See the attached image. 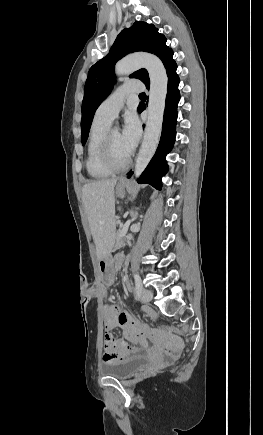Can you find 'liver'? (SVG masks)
Masks as SVG:
<instances>
[{
  "mask_svg": "<svg viewBox=\"0 0 263 435\" xmlns=\"http://www.w3.org/2000/svg\"><path fill=\"white\" fill-rule=\"evenodd\" d=\"M116 178L92 181L82 188L83 206L96 245L98 259L110 253L115 238Z\"/></svg>",
  "mask_w": 263,
  "mask_h": 435,
  "instance_id": "obj_1",
  "label": "liver"
}]
</instances>
